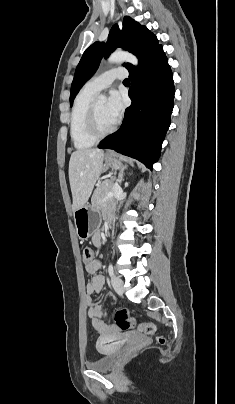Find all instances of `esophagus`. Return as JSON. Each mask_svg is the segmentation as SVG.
<instances>
[{"instance_id": "1", "label": "esophagus", "mask_w": 235, "mask_h": 404, "mask_svg": "<svg viewBox=\"0 0 235 404\" xmlns=\"http://www.w3.org/2000/svg\"><path fill=\"white\" fill-rule=\"evenodd\" d=\"M111 153H112V151H111V150H108V151H107V154H111Z\"/></svg>"}]
</instances>
